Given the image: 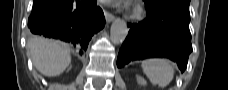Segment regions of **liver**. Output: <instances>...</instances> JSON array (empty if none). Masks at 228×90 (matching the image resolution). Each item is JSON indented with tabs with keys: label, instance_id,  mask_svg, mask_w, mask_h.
<instances>
[{
	"label": "liver",
	"instance_id": "liver-1",
	"mask_svg": "<svg viewBox=\"0 0 228 90\" xmlns=\"http://www.w3.org/2000/svg\"><path fill=\"white\" fill-rule=\"evenodd\" d=\"M28 47L34 66L45 76H58L71 63L68 48L57 41L34 37Z\"/></svg>",
	"mask_w": 228,
	"mask_h": 90
}]
</instances>
